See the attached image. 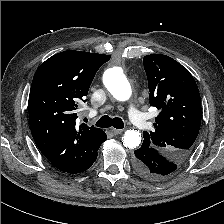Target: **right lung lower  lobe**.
Listing matches in <instances>:
<instances>
[{"mask_svg":"<svg viewBox=\"0 0 224 224\" xmlns=\"http://www.w3.org/2000/svg\"><path fill=\"white\" fill-rule=\"evenodd\" d=\"M96 158H97V153L94 155V157L90 160V162L86 165V167L81 172L90 168L92 166V164L94 163V161L96 160Z\"/></svg>","mask_w":224,"mask_h":224,"instance_id":"obj_1","label":"right lung lower lobe"}]
</instances>
